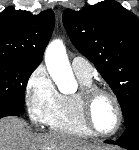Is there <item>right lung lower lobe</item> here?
Returning a JSON list of instances; mask_svg holds the SVG:
<instances>
[{"label": "right lung lower lobe", "mask_w": 139, "mask_h": 150, "mask_svg": "<svg viewBox=\"0 0 139 150\" xmlns=\"http://www.w3.org/2000/svg\"><path fill=\"white\" fill-rule=\"evenodd\" d=\"M19 115L21 114L12 109H0V118L5 116H19Z\"/></svg>", "instance_id": "1"}]
</instances>
